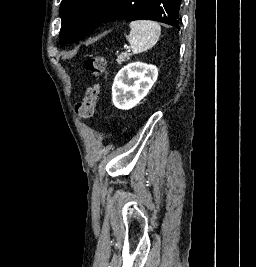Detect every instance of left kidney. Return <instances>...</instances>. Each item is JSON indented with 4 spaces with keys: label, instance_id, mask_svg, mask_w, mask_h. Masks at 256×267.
I'll return each mask as SVG.
<instances>
[{
    "label": "left kidney",
    "instance_id": "obj_1",
    "mask_svg": "<svg viewBox=\"0 0 256 267\" xmlns=\"http://www.w3.org/2000/svg\"><path fill=\"white\" fill-rule=\"evenodd\" d=\"M158 78L152 64L132 62L121 68L112 86V102L119 110H130L147 96Z\"/></svg>",
    "mask_w": 256,
    "mask_h": 267
}]
</instances>
